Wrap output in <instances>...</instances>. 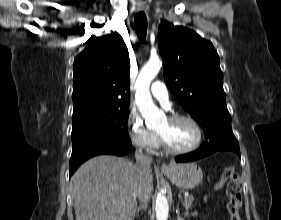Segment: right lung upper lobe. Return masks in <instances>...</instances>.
Segmentation results:
<instances>
[{"mask_svg": "<svg viewBox=\"0 0 281 220\" xmlns=\"http://www.w3.org/2000/svg\"><path fill=\"white\" fill-rule=\"evenodd\" d=\"M129 53L118 33L88 42L74 60L73 118L129 107Z\"/></svg>", "mask_w": 281, "mask_h": 220, "instance_id": "right-lung-upper-lobe-1", "label": "right lung upper lobe"}]
</instances>
